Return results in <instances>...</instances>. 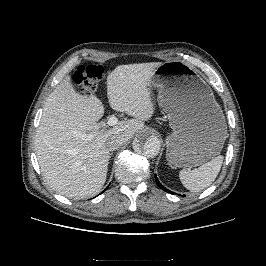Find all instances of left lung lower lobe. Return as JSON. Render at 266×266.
I'll return each instance as SVG.
<instances>
[{
	"instance_id": "obj_1",
	"label": "left lung lower lobe",
	"mask_w": 266,
	"mask_h": 266,
	"mask_svg": "<svg viewBox=\"0 0 266 266\" xmlns=\"http://www.w3.org/2000/svg\"><path fill=\"white\" fill-rule=\"evenodd\" d=\"M155 180H156L157 185H158L162 190H164L165 192H168V193L173 194V192H171L170 190L166 189V188H165V187H164V186L158 181L156 175H155Z\"/></svg>"
}]
</instances>
